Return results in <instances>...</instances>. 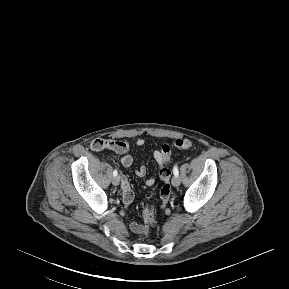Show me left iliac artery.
Returning a JSON list of instances; mask_svg holds the SVG:
<instances>
[{"label":"left iliac artery","instance_id":"left-iliac-artery-1","mask_svg":"<svg viewBox=\"0 0 289 289\" xmlns=\"http://www.w3.org/2000/svg\"><path fill=\"white\" fill-rule=\"evenodd\" d=\"M173 173H174V176H178L179 175V171H178V166L177 165L174 166Z\"/></svg>","mask_w":289,"mask_h":289}]
</instances>
